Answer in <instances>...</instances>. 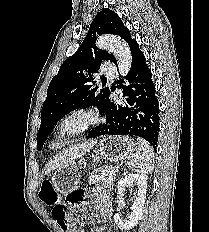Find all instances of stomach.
Instances as JSON below:
<instances>
[{
	"instance_id": "stomach-1",
	"label": "stomach",
	"mask_w": 209,
	"mask_h": 232,
	"mask_svg": "<svg viewBox=\"0 0 209 232\" xmlns=\"http://www.w3.org/2000/svg\"><path fill=\"white\" fill-rule=\"evenodd\" d=\"M135 150L134 141L128 136H108L102 138L95 150L98 157L105 161H120L129 157ZM80 172L75 163L58 168L53 177L52 185L60 193H69L75 190L80 182Z\"/></svg>"
}]
</instances>
